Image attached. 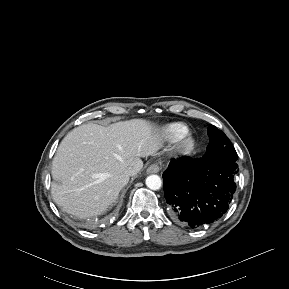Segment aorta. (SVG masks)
Segmentation results:
<instances>
[{"mask_svg": "<svg viewBox=\"0 0 289 289\" xmlns=\"http://www.w3.org/2000/svg\"><path fill=\"white\" fill-rule=\"evenodd\" d=\"M146 186L151 190H158L162 186V180L158 175H150L146 178Z\"/></svg>", "mask_w": 289, "mask_h": 289, "instance_id": "1", "label": "aorta"}]
</instances>
